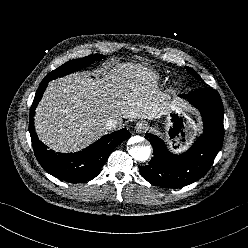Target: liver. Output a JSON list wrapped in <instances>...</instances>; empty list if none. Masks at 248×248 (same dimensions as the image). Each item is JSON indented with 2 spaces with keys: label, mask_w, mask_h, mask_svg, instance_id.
Listing matches in <instances>:
<instances>
[{
  "label": "liver",
  "mask_w": 248,
  "mask_h": 248,
  "mask_svg": "<svg viewBox=\"0 0 248 248\" xmlns=\"http://www.w3.org/2000/svg\"><path fill=\"white\" fill-rule=\"evenodd\" d=\"M92 78L74 73L49 82L35 112L39 139L50 149L74 152L106 133L108 119H158L168 101L155 76L140 64H123Z\"/></svg>",
  "instance_id": "1"
}]
</instances>
